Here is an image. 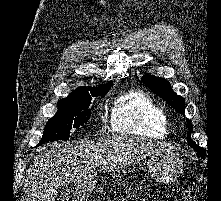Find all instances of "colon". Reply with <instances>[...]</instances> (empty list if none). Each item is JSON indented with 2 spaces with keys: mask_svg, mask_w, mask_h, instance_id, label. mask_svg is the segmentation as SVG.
<instances>
[{
  "mask_svg": "<svg viewBox=\"0 0 221 201\" xmlns=\"http://www.w3.org/2000/svg\"><path fill=\"white\" fill-rule=\"evenodd\" d=\"M184 201H195L193 196L191 195L190 189L186 188L183 191Z\"/></svg>",
  "mask_w": 221,
  "mask_h": 201,
  "instance_id": "colon-1",
  "label": "colon"
}]
</instances>
